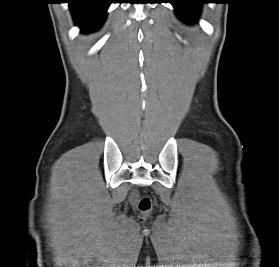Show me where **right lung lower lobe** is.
Here are the masks:
<instances>
[{
    "label": "right lung lower lobe",
    "instance_id": "1",
    "mask_svg": "<svg viewBox=\"0 0 279 267\" xmlns=\"http://www.w3.org/2000/svg\"><path fill=\"white\" fill-rule=\"evenodd\" d=\"M111 0H69L77 25L83 31L97 28L104 20Z\"/></svg>",
    "mask_w": 279,
    "mask_h": 267
}]
</instances>
